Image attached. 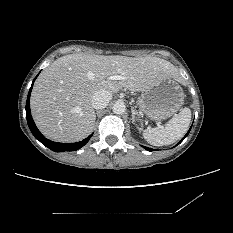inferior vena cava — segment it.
I'll return each instance as SVG.
<instances>
[{
    "mask_svg": "<svg viewBox=\"0 0 233 233\" xmlns=\"http://www.w3.org/2000/svg\"><path fill=\"white\" fill-rule=\"evenodd\" d=\"M112 99V94L107 90H99L92 96L91 104L94 109H104Z\"/></svg>",
    "mask_w": 233,
    "mask_h": 233,
    "instance_id": "inferior-vena-cava-1",
    "label": "inferior vena cava"
}]
</instances>
